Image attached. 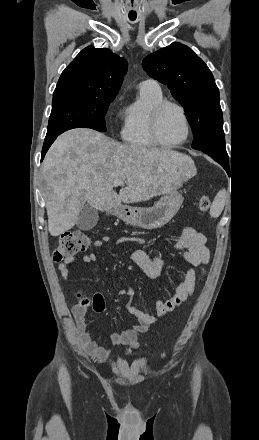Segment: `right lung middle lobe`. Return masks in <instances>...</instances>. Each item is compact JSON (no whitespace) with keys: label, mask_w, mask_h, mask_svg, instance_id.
Returning a JSON list of instances; mask_svg holds the SVG:
<instances>
[{"label":"right lung middle lobe","mask_w":259,"mask_h":440,"mask_svg":"<svg viewBox=\"0 0 259 440\" xmlns=\"http://www.w3.org/2000/svg\"><path fill=\"white\" fill-rule=\"evenodd\" d=\"M113 98L83 95L53 96L46 139L73 128L106 131L104 116Z\"/></svg>","instance_id":"1"}]
</instances>
